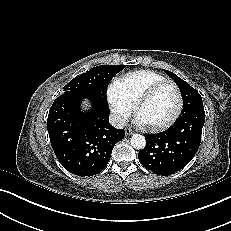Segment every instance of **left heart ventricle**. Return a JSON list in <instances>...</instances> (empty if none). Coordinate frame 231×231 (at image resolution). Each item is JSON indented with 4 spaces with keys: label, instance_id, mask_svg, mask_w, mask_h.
<instances>
[{
    "label": "left heart ventricle",
    "instance_id": "left-heart-ventricle-1",
    "mask_svg": "<svg viewBox=\"0 0 231 231\" xmlns=\"http://www.w3.org/2000/svg\"><path fill=\"white\" fill-rule=\"evenodd\" d=\"M176 105V94L172 86L159 87L143 106L139 116L148 124H162L172 115Z\"/></svg>",
    "mask_w": 231,
    "mask_h": 231
}]
</instances>
